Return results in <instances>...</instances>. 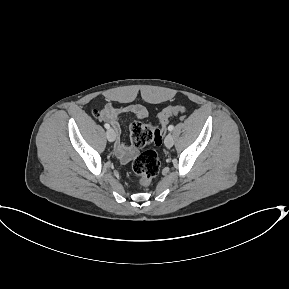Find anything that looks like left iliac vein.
Returning a JSON list of instances; mask_svg holds the SVG:
<instances>
[{
	"mask_svg": "<svg viewBox=\"0 0 289 289\" xmlns=\"http://www.w3.org/2000/svg\"><path fill=\"white\" fill-rule=\"evenodd\" d=\"M164 143H165V146L170 148L173 146L174 144V137L172 134H168L166 137H165V140H164Z\"/></svg>",
	"mask_w": 289,
	"mask_h": 289,
	"instance_id": "1",
	"label": "left iliac vein"
}]
</instances>
